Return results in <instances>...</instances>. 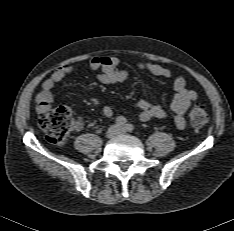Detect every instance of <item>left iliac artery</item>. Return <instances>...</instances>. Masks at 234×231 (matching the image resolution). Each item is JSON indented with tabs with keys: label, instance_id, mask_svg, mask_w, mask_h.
Wrapping results in <instances>:
<instances>
[{
	"label": "left iliac artery",
	"instance_id": "obj_1",
	"mask_svg": "<svg viewBox=\"0 0 234 231\" xmlns=\"http://www.w3.org/2000/svg\"><path fill=\"white\" fill-rule=\"evenodd\" d=\"M124 128L126 131L129 132H132L134 130V126L132 124H126Z\"/></svg>",
	"mask_w": 234,
	"mask_h": 231
}]
</instances>
